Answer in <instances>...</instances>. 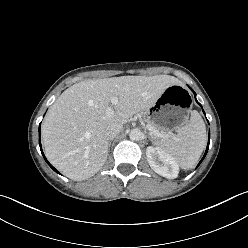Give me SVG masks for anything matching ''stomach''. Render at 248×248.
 I'll return each mask as SVG.
<instances>
[{"label":"stomach","instance_id":"0dacf381","mask_svg":"<svg viewBox=\"0 0 248 248\" xmlns=\"http://www.w3.org/2000/svg\"><path fill=\"white\" fill-rule=\"evenodd\" d=\"M190 110L191 98L188 91L184 86L175 84L168 87L157 101L146 109V121L161 132L170 134L187 124Z\"/></svg>","mask_w":248,"mask_h":248}]
</instances>
